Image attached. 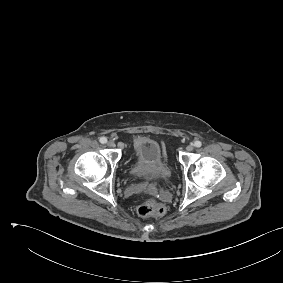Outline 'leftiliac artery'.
Wrapping results in <instances>:
<instances>
[{"label": "left iliac artery", "mask_w": 283, "mask_h": 283, "mask_svg": "<svg viewBox=\"0 0 283 283\" xmlns=\"http://www.w3.org/2000/svg\"><path fill=\"white\" fill-rule=\"evenodd\" d=\"M194 146L199 148L202 146V143L200 141H195Z\"/></svg>", "instance_id": "44dca946"}]
</instances>
